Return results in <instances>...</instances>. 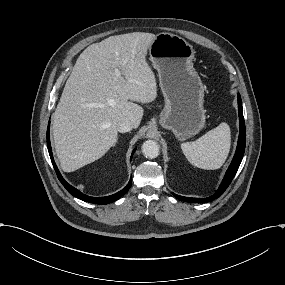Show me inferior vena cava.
Listing matches in <instances>:
<instances>
[{
	"instance_id": "602c4592",
	"label": "inferior vena cava",
	"mask_w": 285,
	"mask_h": 285,
	"mask_svg": "<svg viewBox=\"0 0 285 285\" xmlns=\"http://www.w3.org/2000/svg\"><path fill=\"white\" fill-rule=\"evenodd\" d=\"M133 127L128 119H124L121 122L118 123L117 125V130L119 132H127L131 130Z\"/></svg>"
}]
</instances>
